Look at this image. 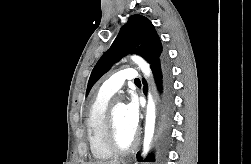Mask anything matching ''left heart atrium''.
I'll return each mask as SVG.
<instances>
[{
    "label": "left heart atrium",
    "instance_id": "left-heart-atrium-1",
    "mask_svg": "<svg viewBox=\"0 0 251 164\" xmlns=\"http://www.w3.org/2000/svg\"><path fill=\"white\" fill-rule=\"evenodd\" d=\"M124 114L125 120L128 127L136 132L138 123H139V107L137 101L132 98L125 106H124Z\"/></svg>",
    "mask_w": 251,
    "mask_h": 164
}]
</instances>
